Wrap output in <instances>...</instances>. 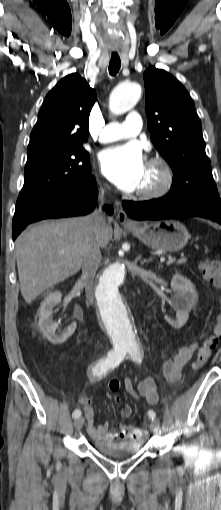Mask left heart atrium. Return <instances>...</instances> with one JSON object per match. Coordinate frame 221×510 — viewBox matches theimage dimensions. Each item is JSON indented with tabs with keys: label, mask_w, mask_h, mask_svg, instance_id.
<instances>
[{
	"label": "left heart atrium",
	"mask_w": 221,
	"mask_h": 510,
	"mask_svg": "<svg viewBox=\"0 0 221 510\" xmlns=\"http://www.w3.org/2000/svg\"><path fill=\"white\" fill-rule=\"evenodd\" d=\"M99 160L103 173L119 189L134 192L140 188L146 163L138 145H120L106 149Z\"/></svg>",
	"instance_id": "left-heart-atrium-1"
}]
</instances>
